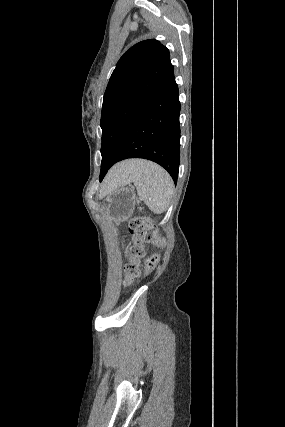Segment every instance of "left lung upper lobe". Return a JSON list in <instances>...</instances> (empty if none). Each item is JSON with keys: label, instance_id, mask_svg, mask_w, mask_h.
<instances>
[{"label": "left lung upper lobe", "instance_id": "1", "mask_svg": "<svg viewBox=\"0 0 285 427\" xmlns=\"http://www.w3.org/2000/svg\"><path fill=\"white\" fill-rule=\"evenodd\" d=\"M173 70L169 50L154 39L137 43L118 61L103 98L100 181L129 123Z\"/></svg>", "mask_w": 285, "mask_h": 427}]
</instances>
